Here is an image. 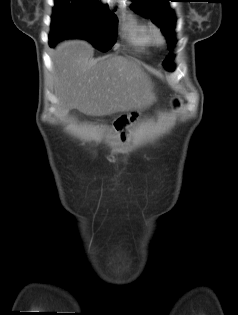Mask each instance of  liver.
<instances>
[{
	"label": "liver",
	"instance_id": "1",
	"mask_svg": "<svg viewBox=\"0 0 238 315\" xmlns=\"http://www.w3.org/2000/svg\"><path fill=\"white\" fill-rule=\"evenodd\" d=\"M54 91L62 109L77 108L103 116L151 104L153 85L132 60L124 56L93 58L86 41L60 43L55 51Z\"/></svg>",
	"mask_w": 238,
	"mask_h": 315
}]
</instances>
